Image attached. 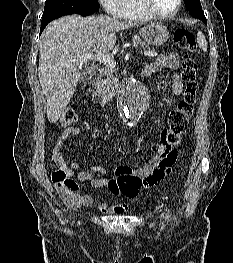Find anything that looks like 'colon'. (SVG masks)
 <instances>
[{"mask_svg":"<svg viewBox=\"0 0 233 263\" xmlns=\"http://www.w3.org/2000/svg\"><path fill=\"white\" fill-rule=\"evenodd\" d=\"M174 42L184 54L182 62V78L186 83L183 98L169 113L167 127L163 130L161 142L154 147L157 155L162 156V161L150 174L145 176L147 184H157L167 176L176 160L174 147L181 141L189 120L194 114L197 99V73L198 67L193 55L196 51V42L193 34L186 29H178L174 33ZM79 116L73 108H68L60 118V124L64 128H70L78 122ZM130 172V170H124ZM54 183H63L67 189H75L77 184L67 177L60 168L52 174Z\"/></svg>","mask_w":233,"mask_h":263,"instance_id":"obj_1","label":"colon"}]
</instances>
